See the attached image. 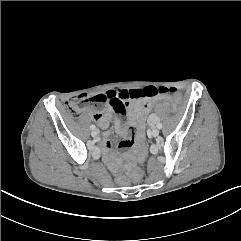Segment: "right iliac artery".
I'll use <instances>...</instances> for the list:
<instances>
[{"label":"right iliac artery","mask_w":241,"mask_h":241,"mask_svg":"<svg viewBox=\"0 0 241 241\" xmlns=\"http://www.w3.org/2000/svg\"><path fill=\"white\" fill-rule=\"evenodd\" d=\"M90 128H91L92 130H94L96 127H95V125L92 124V125L90 126Z\"/></svg>","instance_id":"1"}]
</instances>
